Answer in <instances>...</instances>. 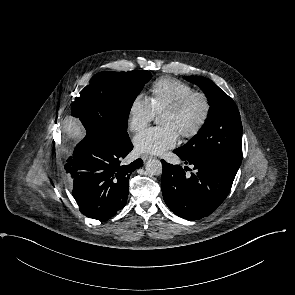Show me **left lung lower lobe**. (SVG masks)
<instances>
[{"label":"left lung lower lobe","mask_w":295,"mask_h":295,"mask_svg":"<svg viewBox=\"0 0 295 295\" xmlns=\"http://www.w3.org/2000/svg\"><path fill=\"white\" fill-rule=\"evenodd\" d=\"M174 152L185 164L194 168L186 176L187 166L172 165L162 160L161 189L166 205L176 215L198 220L211 214L227 197L237 171L210 158H185Z\"/></svg>","instance_id":"obj_1"}]
</instances>
